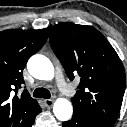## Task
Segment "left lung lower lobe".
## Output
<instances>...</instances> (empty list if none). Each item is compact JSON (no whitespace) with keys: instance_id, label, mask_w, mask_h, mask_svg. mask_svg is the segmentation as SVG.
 Masks as SVG:
<instances>
[{"instance_id":"1","label":"left lung lower lobe","mask_w":127,"mask_h":127,"mask_svg":"<svg viewBox=\"0 0 127 127\" xmlns=\"http://www.w3.org/2000/svg\"><path fill=\"white\" fill-rule=\"evenodd\" d=\"M63 127H112V126L93 121L80 113L74 112L71 120L63 122Z\"/></svg>"}]
</instances>
